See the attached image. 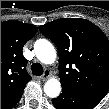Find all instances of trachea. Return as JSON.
Instances as JSON below:
<instances>
[{"mask_svg":"<svg viewBox=\"0 0 109 109\" xmlns=\"http://www.w3.org/2000/svg\"><path fill=\"white\" fill-rule=\"evenodd\" d=\"M32 73L36 76L43 74V67L40 63H33L31 66Z\"/></svg>","mask_w":109,"mask_h":109,"instance_id":"trachea-1","label":"trachea"}]
</instances>
